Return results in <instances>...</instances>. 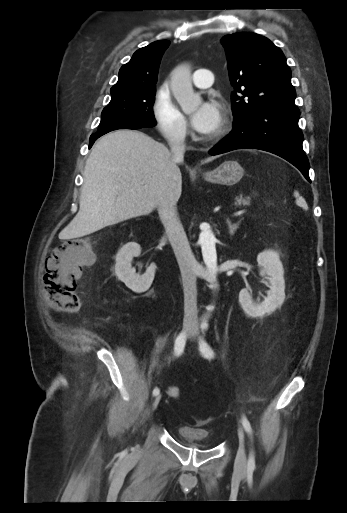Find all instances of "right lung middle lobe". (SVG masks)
<instances>
[{"label":"right lung middle lobe","instance_id":"1","mask_svg":"<svg viewBox=\"0 0 347 513\" xmlns=\"http://www.w3.org/2000/svg\"><path fill=\"white\" fill-rule=\"evenodd\" d=\"M156 87L111 92V101L101 114L97 132L124 126L154 127L153 114Z\"/></svg>","mask_w":347,"mask_h":513}]
</instances>
